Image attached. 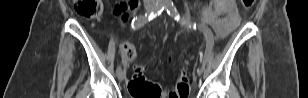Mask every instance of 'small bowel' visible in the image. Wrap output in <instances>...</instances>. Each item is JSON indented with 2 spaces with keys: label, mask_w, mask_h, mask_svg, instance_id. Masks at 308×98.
Segmentation results:
<instances>
[{
  "label": "small bowel",
  "mask_w": 308,
  "mask_h": 98,
  "mask_svg": "<svg viewBox=\"0 0 308 98\" xmlns=\"http://www.w3.org/2000/svg\"><path fill=\"white\" fill-rule=\"evenodd\" d=\"M139 7V2L136 1L134 3V5L132 6V9H136ZM214 27L216 28V30L219 32V34L221 35V37L226 36V34L228 33L227 29H224L223 27H221L219 24H214Z\"/></svg>",
  "instance_id": "obj_1"
}]
</instances>
